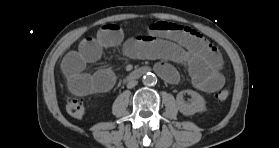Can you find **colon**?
Segmentation results:
<instances>
[{"instance_id": "1", "label": "colon", "mask_w": 279, "mask_h": 148, "mask_svg": "<svg viewBox=\"0 0 279 148\" xmlns=\"http://www.w3.org/2000/svg\"><path fill=\"white\" fill-rule=\"evenodd\" d=\"M230 92L228 89H222L221 91H219L216 95V99L218 101H225L228 96H229ZM66 111L69 115L75 117V118H80L85 114L86 111V107L83 103V101L79 98H75V97H69L66 99Z\"/></svg>"}]
</instances>
